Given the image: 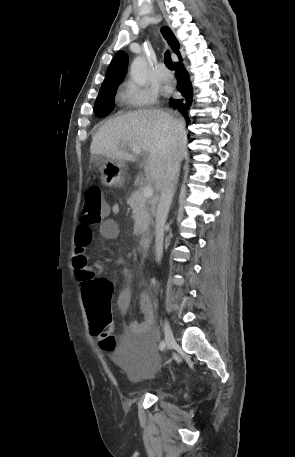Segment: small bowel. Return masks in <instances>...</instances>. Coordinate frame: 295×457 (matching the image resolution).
I'll return each mask as SVG.
<instances>
[{
  "label": "small bowel",
  "instance_id": "c3829d8e",
  "mask_svg": "<svg viewBox=\"0 0 295 457\" xmlns=\"http://www.w3.org/2000/svg\"><path fill=\"white\" fill-rule=\"evenodd\" d=\"M119 211L120 207L117 203L108 206V214H118ZM99 233L103 239H116L119 235L118 223L113 218H106L99 226ZM92 238L91 228L82 225L78 226L75 235L76 254L85 253L86 248L92 242ZM92 269L99 272L101 271V266L94 264ZM122 273L126 279V283L117 295L116 306L120 313L125 314L128 312L131 304V275L126 268L122 269ZM139 308L143 315V320L141 322H131L128 326V332L132 335H144L145 338H153L154 310L148 294L144 291L140 293Z\"/></svg>",
  "mask_w": 295,
  "mask_h": 457
}]
</instances>
